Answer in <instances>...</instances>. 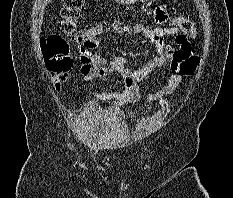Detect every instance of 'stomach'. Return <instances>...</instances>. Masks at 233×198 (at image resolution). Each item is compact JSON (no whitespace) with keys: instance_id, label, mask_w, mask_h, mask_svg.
Returning <instances> with one entry per match:
<instances>
[{"instance_id":"0dacf381","label":"stomach","mask_w":233,"mask_h":198,"mask_svg":"<svg viewBox=\"0 0 233 198\" xmlns=\"http://www.w3.org/2000/svg\"><path fill=\"white\" fill-rule=\"evenodd\" d=\"M116 3H120V4H134L137 1H141V2H147L148 0H113Z\"/></svg>"}]
</instances>
